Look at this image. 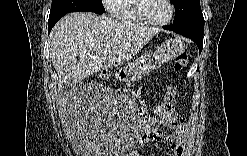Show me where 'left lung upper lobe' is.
Here are the masks:
<instances>
[{
	"instance_id": "5c2ea615",
	"label": "left lung upper lobe",
	"mask_w": 247,
	"mask_h": 156,
	"mask_svg": "<svg viewBox=\"0 0 247 156\" xmlns=\"http://www.w3.org/2000/svg\"><path fill=\"white\" fill-rule=\"evenodd\" d=\"M172 3L175 7V19L173 23H182L192 17L196 12L201 11L200 0H175Z\"/></svg>"
}]
</instances>
